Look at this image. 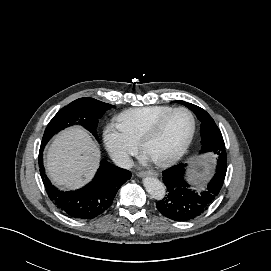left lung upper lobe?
<instances>
[{
  "label": "left lung upper lobe",
  "mask_w": 271,
  "mask_h": 271,
  "mask_svg": "<svg viewBox=\"0 0 271 271\" xmlns=\"http://www.w3.org/2000/svg\"><path fill=\"white\" fill-rule=\"evenodd\" d=\"M181 103L192 110L197 118L201 121L200 133H201V144H202V153L213 152L217 155L218 164L217 168H222L223 163L221 158L226 156L225 144L223 141L222 134L215 124L213 118L202 108L185 102V101H174Z\"/></svg>",
  "instance_id": "obj_1"
}]
</instances>
